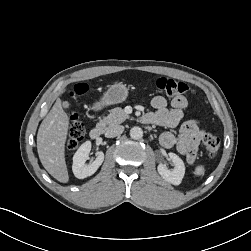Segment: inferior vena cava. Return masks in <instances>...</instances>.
<instances>
[{"instance_id":"inferior-vena-cava-1","label":"inferior vena cava","mask_w":251,"mask_h":251,"mask_svg":"<svg viewBox=\"0 0 251 251\" xmlns=\"http://www.w3.org/2000/svg\"><path fill=\"white\" fill-rule=\"evenodd\" d=\"M124 131V127L121 125H117L114 127L109 128L106 132H105V136L107 138H112V137H116L120 134H122Z\"/></svg>"}]
</instances>
